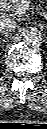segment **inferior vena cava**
Returning <instances> with one entry per match:
<instances>
[{"label": "inferior vena cava", "mask_w": 47, "mask_h": 129, "mask_svg": "<svg viewBox=\"0 0 47 129\" xmlns=\"http://www.w3.org/2000/svg\"><path fill=\"white\" fill-rule=\"evenodd\" d=\"M17 28V23L10 18H2L0 21V30L14 31Z\"/></svg>", "instance_id": "602c4592"}]
</instances>
